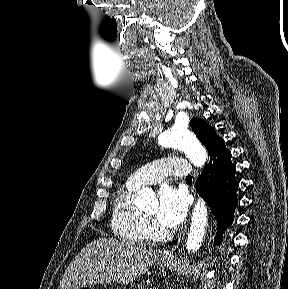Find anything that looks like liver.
I'll use <instances>...</instances> for the list:
<instances>
[{
    "mask_svg": "<svg viewBox=\"0 0 288 289\" xmlns=\"http://www.w3.org/2000/svg\"><path fill=\"white\" fill-rule=\"evenodd\" d=\"M160 251L112 238L94 240L65 270L59 289H79L95 284H128L145 273Z\"/></svg>",
    "mask_w": 288,
    "mask_h": 289,
    "instance_id": "obj_1",
    "label": "liver"
}]
</instances>
